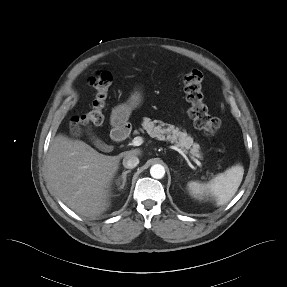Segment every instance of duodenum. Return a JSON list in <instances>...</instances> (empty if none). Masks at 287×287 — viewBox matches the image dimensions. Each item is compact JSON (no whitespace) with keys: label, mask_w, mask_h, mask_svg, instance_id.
Here are the masks:
<instances>
[{"label":"duodenum","mask_w":287,"mask_h":287,"mask_svg":"<svg viewBox=\"0 0 287 287\" xmlns=\"http://www.w3.org/2000/svg\"><path fill=\"white\" fill-rule=\"evenodd\" d=\"M129 131L130 125L127 121L119 122L113 127V132L111 135L112 139L118 142L122 141L127 138V136L129 135Z\"/></svg>","instance_id":"410a0bca"}]
</instances>
